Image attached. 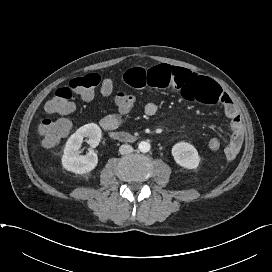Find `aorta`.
<instances>
[{"label":"aorta","instance_id":"762f6f07","mask_svg":"<svg viewBox=\"0 0 272 272\" xmlns=\"http://www.w3.org/2000/svg\"><path fill=\"white\" fill-rule=\"evenodd\" d=\"M151 146L147 141H141L138 145V149L143 152L146 153L150 150Z\"/></svg>","mask_w":272,"mask_h":272}]
</instances>
